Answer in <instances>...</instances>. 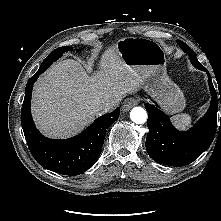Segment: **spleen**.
I'll return each instance as SVG.
<instances>
[{
	"mask_svg": "<svg viewBox=\"0 0 221 221\" xmlns=\"http://www.w3.org/2000/svg\"><path fill=\"white\" fill-rule=\"evenodd\" d=\"M173 121L177 127L181 129H186L191 125L192 118L190 115L182 113L173 116Z\"/></svg>",
	"mask_w": 221,
	"mask_h": 221,
	"instance_id": "spleen-1",
	"label": "spleen"
}]
</instances>
